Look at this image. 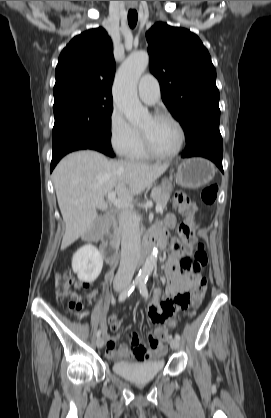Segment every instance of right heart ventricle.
<instances>
[{
    "label": "right heart ventricle",
    "mask_w": 271,
    "mask_h": 418,
    "mask_svg": "<svg viewBox=\"0 0 271 418\" xmlns=\"http://www.w3.org/2000/svg\"><path fill=\"white\" fill-rule=\"evenodd\" d=\"M137 131H138V134H139L138 140H137L135 146L132 148V150L127 155V157L130 158V159H133V160L148 159L149 155L144 148L141 132L139 130H137Z\"/></svg>",
    "instance_id": "right-heart-ventricle-1"
}]
</instances>
